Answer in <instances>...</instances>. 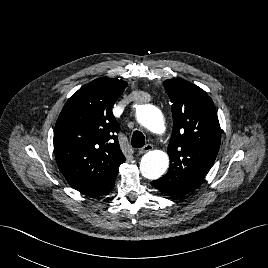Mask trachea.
<instances>
[{
	"mask_svg": "<svg viewBox=\"0 0 268 268\" xmlns=\"http://www.w3.org/2000/svg\"><path fill=\"white\" fill-rule=\"evenodd\" d=\"M133 148H141L145 144V137L142 132L135 130L132 135L131 141Z\"/></svg>",
	"mask_w": 268,
	"mask_h": 268,
	"instance_id": "3493384b",
	"label": "trachea"
}]
</instances>
